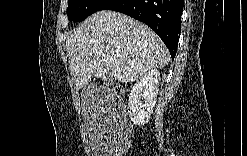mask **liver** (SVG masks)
I'll list each match as a JSON object with an SVG mask.
<instances>
[{
    "label": "liver",
    "instance_id": "obj_1",
    "mask_svg": "<svg viewBox=\"0 0 247 156\" xmlns=\"http://www.w3.org/2000/svg\"><path fill=\"white\" fill-rule=\"evenodd\" d=\"M69 69L77 89L92 77L122 83L140 79L170 61L158 35L139 21L115 11H99L66 35Z\"/></svg>",
    "mask_w": 247,
    "mask_h": 156
}]
</instances>
